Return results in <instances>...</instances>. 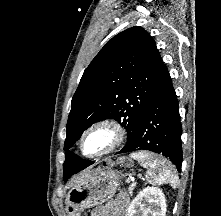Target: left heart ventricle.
I'll return each instance as SVG.
<instances>
[{"instance_id":"1","label":"left heart ventricle","mask_w":221,"mask_h":216,"mask_svg":"<svg viewBox=\"0 0 221 216\" xmlns=\"http://www.w3.org/2000/svg\"><path fill=\"white\" fill-rule=\"evenodd\" d=\"M109 142V134L105 131H96L88 136L84 143V151L87 154L95 153L104 148Z\"/></svg>"}]
</instances>
